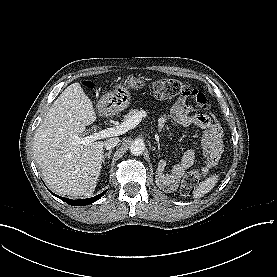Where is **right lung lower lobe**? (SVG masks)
Listing matches in <instances>:
<instances>
[{
    "mask_svg": "<svg viewBox=\"0 0 277 277\" xmlns=\"http://www.w3.org/2000/svg\"><path fill=\"white\" fill-rule=\"evenodd\" d=\"M107 192V190H105L104 192H102L101 194L95 196V197H91V198H87V199H80V200H71V199H66L64 197H60L58 195H55L57 197H59L62 201L67 202L70 205L73 206H84L87 205L89 203H93L94 201L98 200L99 198H101L105 193ZM52 193V192H51ZM53 194V193H52Z\"/></svg>",
    "mask_w": 277,
    "mask_h": 277,
    "instance_id": "right-lung-lower-lobe-1",
    "label": "right lung lower lobe"
}]
</instances>
